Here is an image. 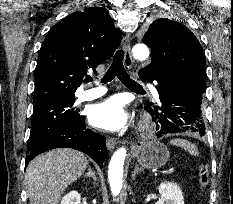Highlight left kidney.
Masks as SVG:
<instances>
[{
	"instance_id": "5707ae66",
	"label": "left kidney",
	"mask_w": 233,
	"mask_h": 204,
	"mask_svg": "<svg viewBox=\"0 0 233 204\" xmlns=\"http://www.w3.org/2000/svg\"><path fill=\"white\" fill-rule=\"evenodd\" d=\"M158 190L161 198L155 204H184L183 193L176 183H161Z\"/></svg>"
}]
</instances>
